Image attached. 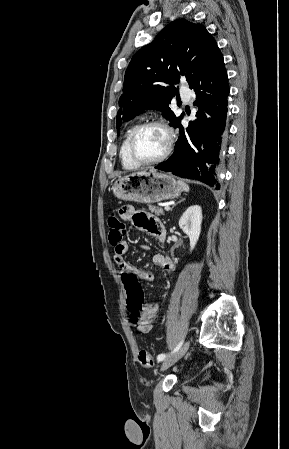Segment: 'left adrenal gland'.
I'll return each instance as SVG.
<instances>
[{
	"label": "left adrenal gland",
	"instance_id": "left-adrenal-gland-1",
	"mask_svg": "<svg viewBox=\"0 0 289 449\" xmlns=\"http://www.w3.org/2000/svg\"><path fill=\"white\" fill-rule=\"evenodd\" d=\"M183 200H184V199H182V200L178 201V202H177L176 204H178V203L182 202ZM174 206H175V205H174ZM174 206H173V207H174Z\"/></svg>",
	"mask_w": 289,
	"mask_h": 449
}]
</instances>
